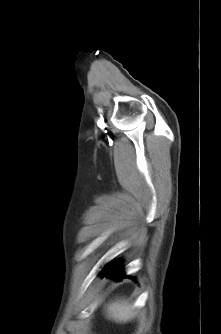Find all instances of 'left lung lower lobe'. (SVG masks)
<instances>
[{"mask_svg": "<svg viewBox=\"0 0 221 334\" xmlns=\"http://www.w3.org/2000/svg\"><path fill=\"white\" fill-rule=\"evenodd\" d=\"M100 273L104 274L106 277H110L116 280H121L127 277L133 279V277L125 276L122 272V268L115 264L106 265Z\"/></svg>", "mask_w": 221, "mask_h": 334, "instance_id": "left-lung-lower-lobe-1", "label": "left lung lower lobe"}]
</instances>
